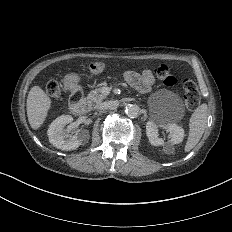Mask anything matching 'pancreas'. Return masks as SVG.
Instances as JSON below:
<instances>
[{
  "mask_svg": "<svg viewBox=\"0 0 232 232\" xmlns=\"http://www.w3.org/2000/svg\"><path fill=\"white\" fill-rule=\"evenodd\" d=\"M106 97L107 95L102 92V88H97L92 90L84 101L88 109L92 110L93 108H97Z\"/></svg>",
  "mask_w": 232,
  "mask_h": 232,
  "instance_id": "obj_1",
  "label": "pancreas"
}]
</instances>
